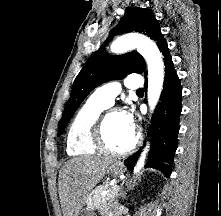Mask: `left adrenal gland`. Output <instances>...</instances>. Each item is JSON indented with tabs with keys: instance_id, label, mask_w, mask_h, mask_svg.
Here are the masks:
<instances>
[{
	"instance_id": "a2214340",
	"label": "left adrenal gland",
	"mask_w": 221,
	"mask_h": 216,
	"mask_svg": "<svg viewBox=\"0 0 221 216\" xmlns=\"http://www.w3.org/2000/svg\"><path fill=\"white\" fill-rule=\"evenodd\" d=\"M121 196L123 197V199H125L126 198V196H125V193H121Z\"/></svg>"
}]
</instances>
